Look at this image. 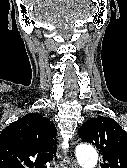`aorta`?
Returning <instances> with one entry per match:
<instances>
[{"mask_svg": "<svg viewBox=\"0 0 127 168\" xmlns=\"http://www.w3.org/2000/svg\"><path fill=\"white\" fill-rule=\"evenodd\" d=\"M76 157L82 168H94L98 161V154L94 147L81 144L76 148Z\"/></svg>", "mask_w": 127, "mask_h": 168, "instance_id": "762f6f07", "label": "aorta"}]
</instances>
